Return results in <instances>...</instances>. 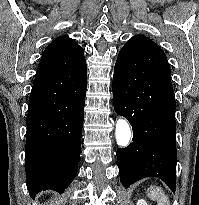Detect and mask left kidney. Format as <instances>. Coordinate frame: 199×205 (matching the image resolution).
<instances>
[{
  "label": "left kidney",
  "mask_w": 199,
  "mask_h": 205,
  "mask_svg": "<svg viewBox=\"0 0 199 205\" xmlns=\"http://www.w3.org/2000/svg\"><path fill=\"white\" fill-rule=\"evenodd\" d=\"M137 205H148L147 202L144 199H139L137 201Z\"/></svg>",
  "instance_id": "left-kidney-1"
}]
</instances>
